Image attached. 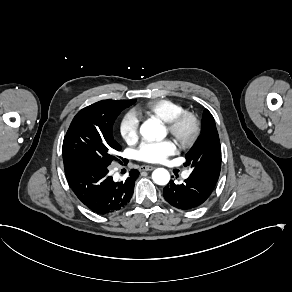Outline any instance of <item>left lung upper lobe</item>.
Segmentation results:
<instances>
[{"label": "left lung upper lobe", "instance_id": "obj_1", "mask_svg": "<svg viewBox=\"0 0 292 292\" xmlns=\"http://www.w3.org/2000/svg\"><path fill=\"white\" fill-rule=\"evenodd\" d=\"M186 161L192 168L191 177L216 185L221 170V145L215 120L207 109L202 117L201 135L186 154Z\"/></svg>", "mask_w": 292, "mask_h": 292}]
</instances>
